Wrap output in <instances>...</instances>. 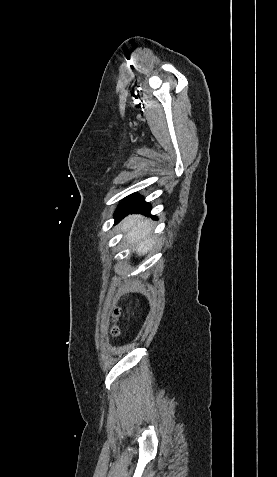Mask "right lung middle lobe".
Returning a JSON list of instances; mask_svg holds the SVG:
<instances>
[{
    "mask_svg": "<svg viewBox=\"0 0 277 477\" xmlns=\"http://www.w3.org/2000/svg\"><path fill=\"white\" fill-rule=\"evenodd\" d=\"M139 198L140 196L136 194L126 197L118 206L117 211L115 212V218L118 219L121 216V213L130 208Z\"/></svg>",
    "mask_w": 277,
    "mask_h": 477,
    "instance_id": "right-lung-middle-lobe-1",
    "label": "right lung middle lobe"
}]
</instances>
